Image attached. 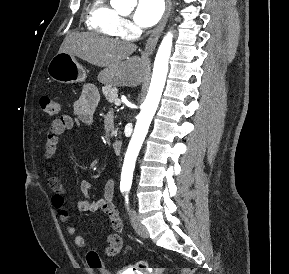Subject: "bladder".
Listing matches in <instances>:
<instances>
[{
  "label": "bladder",
  "mask_w": 289,
  "mask_h": 274,
  "mask_svg": "<svg viewBox=\"0 0 289 274\" xmlns=\"http://www.w3.org/2000/svg\"><path fill=\"white\" fill-rule=\"evenodd\" d=\"M118 274H138V272L126 271L124 273H118ZM142 274H145V273H142Z\"/></svg>",
  "instance_id": "obj_1"
}]
</instances>
